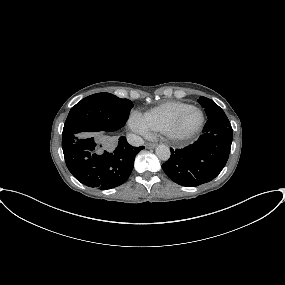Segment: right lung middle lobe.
<instances>
[{"label": "right lung middle lobe", "instance_id": "1", "mask_svg": "<svg viewBox=\"0 0 285 285\" xmlns=\"http://www.w3.org/2000/svg\"><path fill=\"white\" fill-rule=\"evenodd\" d=\"M133 103L110 93L90 95L70 110L63 128V138L86 132H114L123 127Z\"/></svg>", "mask_w": 285, "mask_h": 285}]
</instances>
